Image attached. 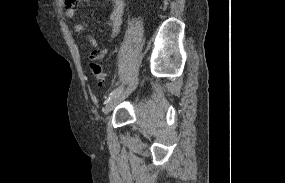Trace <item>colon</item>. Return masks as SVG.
<instances>
[{
  "label": "colon",
  "mask_w": 285,
  "mask_h": 183,
  "mask_svg": "<svg viewBox=\"0 0 285 183\" xmlns=\"http://www.w3.org/2000/svg\"><path fill=\"white\" fill-rule=\"evenodd\" d=\"M75 0H66V3L70 5ZM90 69L92 71V74L95 78V80L98 82L100 86L104 85L106 83V74L102 68V66L98 63L91 62L90 63Z\"/></svg>",
  "instance_id": "5ec220e1"
}]
</instances>
